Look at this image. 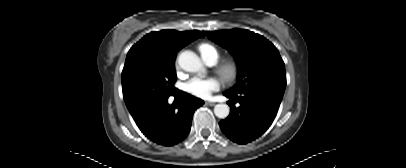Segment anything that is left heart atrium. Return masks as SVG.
I'll return each mask as SVG.
<instances>
[{
    "label": "left heart atrium",
    "instance_id": "left-heart-atrium-1",
    "mask_svg": "<svg viewBox=\"0 0 406 168\" xmlns=\"http://www.w3.org/2000/svg\"><path fill=\"white\" fill-rule=\"evenodd\" d=\"M221 82L215 77H193L186 84L187 91L199 98H208L220 88Z\"/></svg>",
    "mask_w": 406,
    "mask_h": 168
}]
</instances>
